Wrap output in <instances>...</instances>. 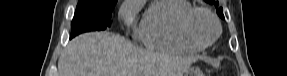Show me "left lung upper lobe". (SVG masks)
I'll list each match as a JSON object with an SVG mask.
<instances>
[{
  "label": "left lung upper lobe",
  "instance_id": "obj_1",
  "mask_svg": "<svg viewBox=\"0 0 287 76\" xmlns=\"http://www.w3.org/2000/svg\"><path fill=\"white\" fill-rule=\"evenodd\" d=\"M207 3L209 4H212L214 5L215 7H218L219 3L217 1H214V0H205ZM217 14L221 17V18H224V15H223V10L222 8H219L217 10Z\"/></svg>",
  "mask_w": 287,
  "mask_h": 76
}]
</instances>
